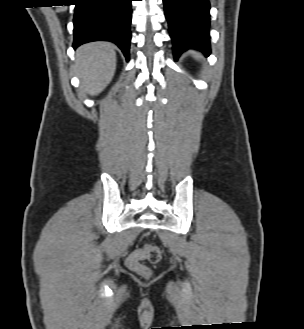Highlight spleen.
Masks as SVG:
<instances>
[{"instance_id": "obj_1", "label": "spleen", "mask_w": 304, "mask_h": 329, "mask_svg": "<svg viewBox=\"0 0 304 329\" xmlns=\"http://www.w3.org/2000/svg\"><path fill=\"white\" fill-rule=\"evenodd\" d=\"M196 58H199V56H198V55H196Z\"/></svg>"}]
</instances>
